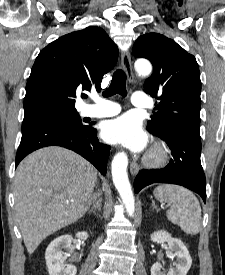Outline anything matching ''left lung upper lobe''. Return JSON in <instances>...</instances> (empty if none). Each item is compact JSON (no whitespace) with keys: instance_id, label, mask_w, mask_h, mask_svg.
Listing matches in <instances>:
<instances>
[{"instance_id":"5c2ea615","label":"left lung upper lobe","mask_w":225,"mask_h":275,"mask_svg":"<svg viewBox=\"0 0 225 275\" xmlns=\"http://www.w3.org/2000/svg\"><path fill=\"white\" fill-rule=\"evenodd\" d=\"M132 52L150 60L154 67L144 91L159 104L147 130L160 138L176 133L200 136L201 81L195 57L158 33L139 37Z\"/></svg>"}]
</instances>
